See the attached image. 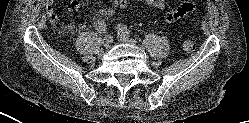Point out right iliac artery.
Wrapping results in <instances>:
<instances>
[{
  "mask_svg": "<svg viewBox=\"0 0 249 123\" xmlns=\"http://www.w3.org/2000/svg\"><path fill=\"white\" fill-rule=\"evenodd\" d=\"M96 27V30L99 32V33H106V30H107V26L105 24L104 21H98L95 25Z\"/></svg>",
  "mask_w": 249,
  "mask_h": 123,
  "instance_id": "82829eb1",
  "label": "right iliac artery"
}]
</instances>
